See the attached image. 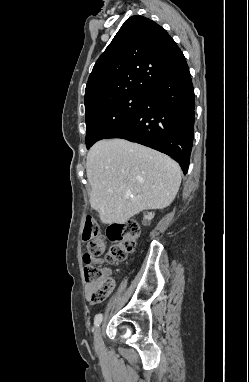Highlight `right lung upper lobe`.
I'll return each mask as SVG.
<instances>
[{
	"label": "right lung upper lobe",
	"instance_id": "cb5924a9",
	"mask_svg": "<svg viewBox=\"0 0 249 382\" xmlns=\"http://www.w3.org/2000/svg\"><path fill=\"white\" fill-rule=\"evenodd\" d=\"M186 59L164 28L143 16L128 18L96 61L85 90V108L130 93H148Z\"/></svg>",
	"mask_w": 249,
	"mask_h": 382
}]
</instances>
